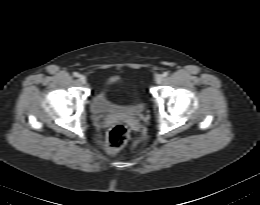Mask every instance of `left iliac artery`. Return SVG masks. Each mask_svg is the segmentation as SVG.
<instances>
[{"label": "left iliac artery", "instance_id": "1", "mask_svg": "<svg viewBox=\"0 0 260 205\" xmlns=\"http://www.w3.org/2000/svg\"><path fill=\"white\" fill-rule=\"evenodd\" d=\"M168 75H169L168 72H164V73H163V76H164V77H167Z\"/></svg>", "mask_w": 260, "mask_h": 205}]
</instances>
